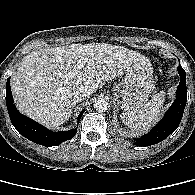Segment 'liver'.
Masks as SVG:
<instances>
[{
    "label": "liver",
    "mask_w": 195,
    "mask_h": 195,
    "mask_svg": "<svg viewBox=\"0 0 195 195\" xmlns=\"http://www.w3.org/2000/svg\"><path fill=\"white\" fill-rule=\"evenodd\" d=\"M146 57L106 43L54 46L28 53L11 77L16 107L51 129L69 120L76 105L74 90L91 94ZM83 65L79 69V65Z\"/></svg>",
    "instance_id": "obj_1"
}]
</instances>
